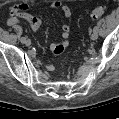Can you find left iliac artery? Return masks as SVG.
Wrapping results in <instances>:
<instances>
[{
  "instance_id": "obj_1",
  "label": "left iliac artery",
  "mask_w": 119,
  "mask_h": 119,
  "mask_svg": "<svg viewBox=\"0 0 119 119\" xmlns=\"http://www.w3.org/2000/svg\"><path fill=\"white\" fill-rule=\"evenodd\" d=\"M93 31H98V27L95 26V27L93 28Z\"/></svg>"
}]
</instances>
